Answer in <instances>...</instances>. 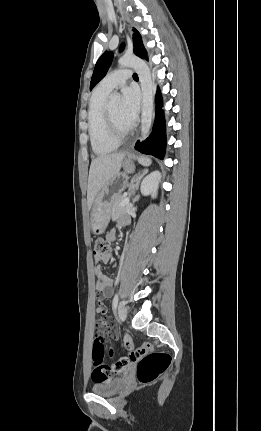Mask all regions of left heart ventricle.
<instances>
[{"label": "left heart ventricle", "instance_id": "left-heart-ventricle-1", "mask_svg": "<svg viewBox=\"0 0 261 431\" xmlns=\"http://www.w3.org/2000/svg\"><path fill=\"white\" fill-rule=\"evenodd\" d=\"M111 118L120 131H126L129 128L124 124L120 114V105L114 104L108 108Z\"/></svg>", "mask_w": 261, "mask_h": 431}]
</instances>
